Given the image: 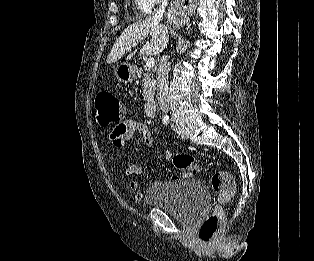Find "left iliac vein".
I'll return each instance as SVG.
<instances>
[{"instance_id": "1", "label": "left iliac vein", "mask_w": 314, "mask_h": 261, "mask_svg": "<svg viewBox=\"0 0 314 261\" xmlns=\"http://www.w3.org/2000/svg\"><path fill=\"white\" fill-rule=\"evenodd\" d=\"M177 134L179 137H181L182 139H187L188 138V133L187 131L181 127V126H178L177 127Z\"/></svg>"}]
</instances>
